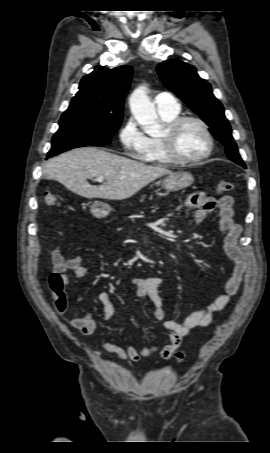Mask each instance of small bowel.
<instances>
[{
    "label": "small bowel",
    "mask_w": 270,
    "mask_h": 453,
    "mask_svg": "<svg viewBox=\"0 0 270 453\" xmlns=\"http://www.w3.org/2000/svg\"><path fill=\"white\" fill-rule=\"evenodd\" d=\"M188 208L195 209V220L200 223L215 206L219 211V229L226 233L224 249L228 257L232 260L234 268L231 277L226 283L225 293L218 296L215 301L207 306L189 314L181 321L164 320L165 310L158 288L164 283L161 276L135 277L132 284L137 288V296L141 300H149L153 306V317L158 321H163V326L169 331L168 337L162 344H152L141 348L134 346H122L114 342H106L101 346V350L107 353H114L121 360L138 362L142 358L158 353L161 360H168L180 346L182 338L193 329L207 326L211 323L216 312L222 310L229 304L231 298L238 292L247 270L248 260L245 252L239 245V238L242 227L234 221L233 198L228 195L220 197L217 201L207 198L202 194H192L186 200ZM54 273L62 278L64 285L69 284L70 277L68 271H72L76 277H85L88 273L87 267L80 255L65 259L60 248H55L51 252ZM98 300L103 308V315L100 320L95 319L90 313L80 317L72 318L68 321L69 325L78 330L82 335L89 336L95 333L100 323H108L115 313V307L108 292H100Z\"/></svg>",
    "instance_id": "obj_1"
}]
</instances>
